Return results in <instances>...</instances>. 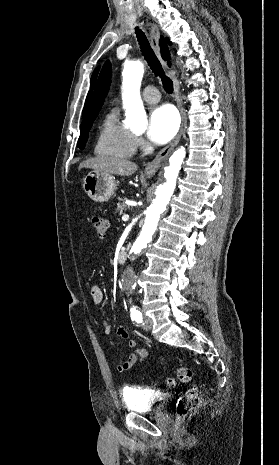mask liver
Here are the masks:
<instances>
[{
    "label": "liver",
    "mask_w": 279,
    "mask_h": 465,
    "mask_svg": "<svg viewBox=\"0 0 279 465\" xmlns=\"http://www.w3.org/2000/svg\"><path fill=\"white\" fill-rule=\"evenodd\" d=\"M90 168L105 174L129 176L138 169L137 164L122 158L101 156L83 161L79 169Z\"/></svg>",
    "instance_id": "liver-1"
}]
</instances>
